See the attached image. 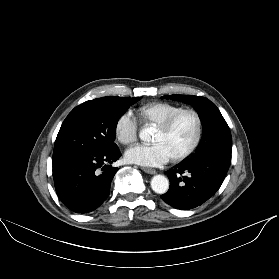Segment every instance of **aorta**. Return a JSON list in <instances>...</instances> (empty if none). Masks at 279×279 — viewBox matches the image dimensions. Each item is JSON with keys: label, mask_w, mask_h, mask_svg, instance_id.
<instances>
[{"label": "aorta", "mask_w": 279, "mask_h": 279, "mask_svg": "<svg viewBox=\"0 0 279 279\" xmlns=\"http://www.w3.org/2000/svg\"><path fill=\"white\" fill-rule=\"evenodd\" d=\"M151 134V130L145 128L139 132V137L143 141H149ZM151 188L155 193L164 194L168 191L169 181L164 175H155L151 180Z\"/></svg>", "instance_id": "obj_1"}]
</instances>
